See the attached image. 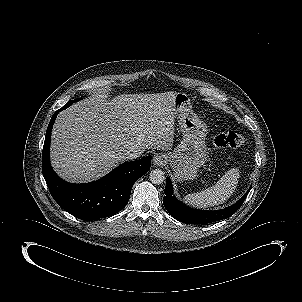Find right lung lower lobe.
<instances>
[{
	"mask_svg": "<svg viewBox=\"0 0 302 302\" xmlns=\"http://www.w3.org/2000/svg\"><path fill=\"white\" fill-rule=\"evenodd\" d=\"M61 110L50 120L42 152V171L52 197L62 209L85 221L116 214L128 203L133 184L150 170L151 156L121 164L94 182L71 184L62 180L53 171L49 158L51 131Z\"/></svg>",
	"mask_w": 302,
	"mask_h": 302,
	"instance_id": "right-lung-lower-lobe-1",
	"label": "right lung lower lobe"
}]
</instances>
